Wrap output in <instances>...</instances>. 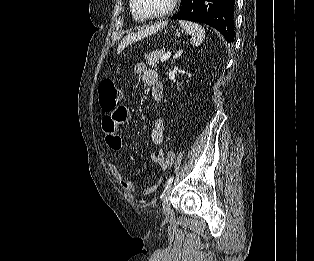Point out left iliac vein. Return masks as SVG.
<instances>
[{
	"instance_id": "obj_1",
	"label": "left iliac vein",
	"mask_w": 314,
	"mask_h": 261,
	"mask_svg": "<svg viewBox=\"0 0 314 261\" xmlns=\"http://www.w3.org/2000/svg\"><path fill=\"white\" fill-rule=\"evenodd\" d=\"M172 190V185L166 187L163 195H162V210L165 214H169L170 212V194Z\"/></svg>"
}]
</instances>
